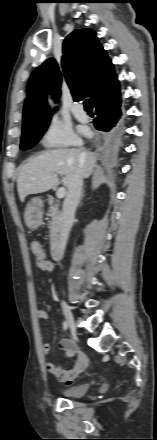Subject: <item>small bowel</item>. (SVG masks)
Here are the masks:
<instances>
[{"mask_svg":"<svg viewBox=\"0 0 157 440\" xmlns=\"http://www.w3.org/2000/svg\"><path fill=\"white\" fill-rule=\"evenodd\" d=\"M53 269V264L51 262L48 263L47 267L44 271H50ZM38 317L41 320L48 319V313L44 310L38 311ZM58 347L66 352V359L74 358L73 364L68 368H63L61 366H56L53 363H47L46 368L50 374H52L55 378L60 380L61 382H68L70 380L75 379L80 373L84 371L87 365V357L81 352L77 345L68 339H62L58 343ZM51 344L50 342H45L42 345V350L44 353H48L50 351Z\"/></svg>","mask_w":157,"mask_h":440,"instance_id":"c3829d8e","label":"small bowel"}]
</instances>
